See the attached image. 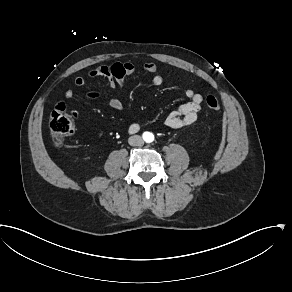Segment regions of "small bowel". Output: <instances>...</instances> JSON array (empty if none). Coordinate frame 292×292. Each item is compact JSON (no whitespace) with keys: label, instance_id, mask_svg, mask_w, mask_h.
I'll return each instance as SVG.
<instances>
[{"label":"small bowel","instance_id":"small-bowel-1","mask_svg":"<svg viewBox=\"0 0 292 292\" xmlns=\"http://www.w3.org/2000/svg\"><path fill=\"white\" fill-rule=\"evenodd\" d=\"M144 72L153 74L152 83L155 86H160L163 83L161 75L157 74V66L152 62H147L142 66ZM136 71L134 64L130 62H117L111 65H101L90 70L86 75L77 76L74 79V84L77 87H82L87 83L89 78H105L108 82L109 95L107 97L108 105L115 111H122L123 104L121 100L116 96L115 91L117 86H123L127 77L133 75ZM74 90L67 89L65 91V97L70 99L74 97ZM186 97L189 101L171 112L165 118V125L172 129H180L196 122L198 114L201 110L202 95L197 93L192 88H188L185 91ZM88 99H98L100 94L97 91H89L86 94ZM136 127V125H133ZM101 134L98 135L100 137Z\"/></svg>","mask_w":292,"mask_h":292}]
</instances>
